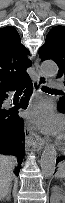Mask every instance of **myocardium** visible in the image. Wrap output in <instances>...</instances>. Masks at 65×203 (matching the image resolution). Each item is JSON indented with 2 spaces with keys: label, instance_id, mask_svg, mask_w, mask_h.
<instances>
[{
  "label": "myocardium",
  "instance_id": "1",
  "mask_svg": "<svg viewBox=\"0 0 65 203\" xmlns=\"http://www.w3.org/2000/svg\"><path fill=\"white\" fill-rule=\"evenodd\" d=\"M63 144H64V139L63 138L59 139L58 145H60V147L62 148Z\"/></svg>",
  "mask_w": 65,
  "mask_h": 203
}]
</instances>
